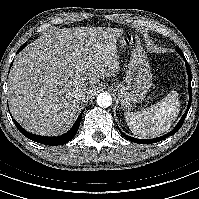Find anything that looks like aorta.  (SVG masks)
<instances>
[{
    "mask_svg": "<svg viewBox=\"0 0 199 199\" xmlns=\"http://www.w3.org/2000/svg\"><path fill=\"white\" fill-rule=\"evenodd\" d=\"M97 105L103 108H107L112 104V97L106 92L98 94L96 98Z\"/></svg>",
    "mask_w": 199,
    "mask_h": 199,
    "instance_id": "aorta-1",
    "label": "aorta"
}]
</instances>
